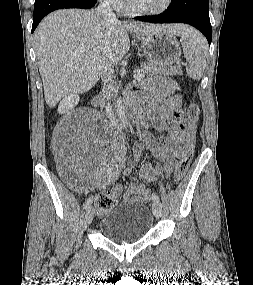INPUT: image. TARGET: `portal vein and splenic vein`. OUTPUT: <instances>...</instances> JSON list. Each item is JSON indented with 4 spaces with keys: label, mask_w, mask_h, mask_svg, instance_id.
Instances as JSON below:
<instances>
[{
    "label": "portal vein and splenic vein",
    "mask_w": 253,
    "mask_h": 285,
    "mask_svg": "<svg viewBox=\"0 0 253 285\" xmlns=\"http://www.w3.org/2000/svg\"><path fill=\"white\" fill-rule=\"evenodd\" d=\"M135 79H140V78H143L144 75L140 72V71H137L134 76H133Z\"/></svg>",
    "instance_id": "1"
}]
</instances>
